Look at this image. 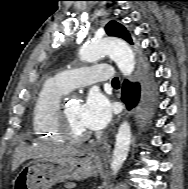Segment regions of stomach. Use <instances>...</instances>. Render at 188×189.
Listing matches in <instances>:
<instances>
[{
    "mask_svg": "<svg viewBox=\"0 0 188 189\" xmlns=\"http://www.w3.org/2000/svg\"><path fill=\"white\" fill-rule=\"evenodd\" d=\"M100 165L94 155L85 158H38L26 164L13 181V189H49L58 181L96 176Z\"/></svg>",
    "mask_w": 188,
    "mask_h": 189,
    "instance_id": "1",
    "label": "stomach"
}]
</instances>
